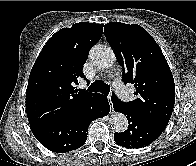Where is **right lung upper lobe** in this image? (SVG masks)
<instances>
[{
  "label": "right lung upper lobe",
  "mask_w": 196,
  "mask_h": 166,
  "mask_svg": "<svg viewBox=\"0 0 196 166\" xmlns=\"http://www.w3.org/2000/svg\"><path fill=\"white\" fill-rule=\"evenodd\" d=\"M102 24L79 22L62 28L43 46L26 90L30 126L64 118L98 93L77 90L89 51L103 32Z\"/></svg>",
  "instance_id": "obj_1"
}]
</instances>
